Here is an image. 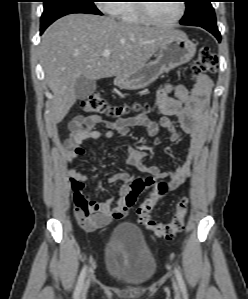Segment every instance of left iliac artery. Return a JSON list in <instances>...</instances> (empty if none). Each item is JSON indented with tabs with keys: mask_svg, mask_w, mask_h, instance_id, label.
<instances>
[{
	"mask_svg": "<svg viewBox=\"0 0 248 299\" xmlns=\"http://www.w3.org/2000/svg\"><path fill=\"white\" fill-rule=\"evenodd\" d=\"M175 275H176V278H177V281H178V284L180 286V289L183 293H186V286H185V283H184V280L182 278V275L181 273L179 272L178 269L175 268Z\"/></svg>",
	"mask_w": 248,
	"mask_h": 299,
	"instance_id": "left-iliac-artery-1",
	"label": "left iliac artery"
}]
</instances>
